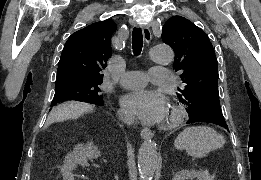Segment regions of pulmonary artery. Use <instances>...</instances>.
I'll list each match as a JSON object with an SVG mask.
<instances>
[{
    "label": "pulmonary artery",
    "mask_w": 261,
    "mask_h": 180,
    "mask_svg": "<svg viewBox=\"0 0 261 180\" xmlns=\"http://www.w3.org/2000/svg\"><path fill=\"white\" fill-rule=\"evenodd\" d=\"M171 73L169 67H156L150 69L147 73L142 71H127L122 75L121 85L124 87L143 88L147 80L155 83H170Z\"/></svg>",
    "instance_id": "e3ab8cb5"
}]
</instances>
